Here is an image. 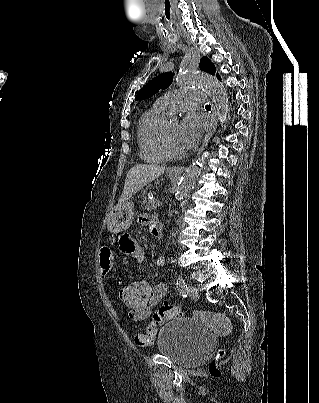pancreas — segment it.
Wrapping results in <instances>:
<instances>
[{
	"label": "pancreas",
	"mask_w": 319,
	"mask_h": 403,
	"mask_svg": "<svg viewBox=\"0 0 319 403\" xmlns=\"http://www.w3.org/2000/svg\"><path fill=\"white\" fill-rule=\"evenodd\" d=\"M156 203L157 201L155 199L145 200L144 208L147 209L148 211H153L156 209Z\"/></svg>",
	"instance_id": "pancreas-1"
}]
</instances>
